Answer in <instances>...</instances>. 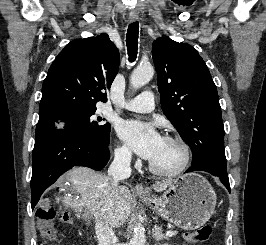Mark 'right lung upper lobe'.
I'll return each mask as SVG.
<instances>
[{"instance_id":"cb5924a9","label":"right lung upper lobe","mask_w":266,"mask_h":245,"mask_svg":"<svg viewBox=\"0 0 266 245\" xmlns=\"http://www.w3.org/2000/svg\"><path fill=\"white\" fill-rule=\"evenodd\" d=\"M119 51L108 35L75 39L58 54L43 82L39 121L107 102L119 67Z\"/></svg>"}]
</instances>
